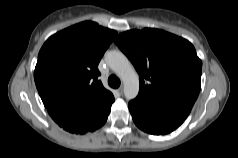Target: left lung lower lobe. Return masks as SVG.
<instances>
[{
    "label": "left lung lower lobe",
    "mask_w": 238,
    "mask_h": 158,
    "mask_svg": "<svg viewBox=\"0 0 238 158\" xmlns=\"http://www.w3.org/2000/svg\"><path fill=\"white\" fill-rule=\"evenodd\" d=\"M193 104L189 102L152 107L137 100L129 102L134 123L143 131L154 134H168L178 128L189 115Z\"/></svg>",
    "instance_id": "0a47b994"
}]
</instances>
